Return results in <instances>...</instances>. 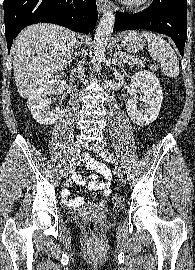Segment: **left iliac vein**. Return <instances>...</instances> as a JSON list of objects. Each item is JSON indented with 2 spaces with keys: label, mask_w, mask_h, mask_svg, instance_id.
Instances as JSON below:
<instances>
[{
  "label": "left iliac vein",
  "mask_w": 195,
  "mask_h": 270,
  "mask_svg": "<svg viewBox=\"0 0 195 270\" xmlns=\"http://www.w3.org/2000/svg\"><path fill=\"white\" fill-rule=\"evenodd\" d=\"M99 156H101L102 158H104L106 161L108 162H114L110 152L108 151V149L104 146V145H100L96 148L93 149ZM115 174L119 180V182L124 185L126 183V177L124 172L122 171V169L119 166L115 165Z\"/></svg>",
  "instance_id": "left-iliac-vein-1"
}]
</instances>
